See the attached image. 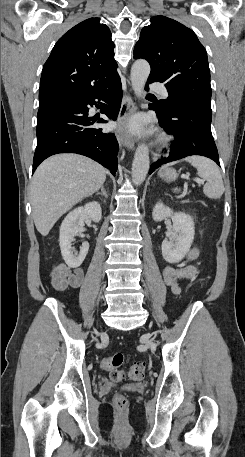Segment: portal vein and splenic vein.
Masks as SVG:
<instances>
[{
    "label": "portal vein and splenic vein",
    "mask_w": 245,
    "mask_h": 457,
    "mask_svg": "<svg viewBox=\"0 0 245 457\" xmlns=\"http://www.w3.org/2000/svg\"><path fill=\"white\" fill-rule=\"evenodd\" d=\"M182 176H187V174H182ZM194 180H196V182H199V184H203L204 182L203 178H194Z\"/></svg>",
    "instance_id": "portal-vein-and-splenic-vein-1"
}]
</instances>
